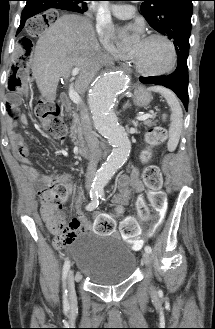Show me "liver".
I'll return each mask as SVG.
<instances>
[{
  "mask_svg": "<svg viewBox=\"0 0 215 329\" xmlns=\"http://www.w3.org/2000/svg\"><path fill=\"white\" fill-rule=\"evenodd\" d=\"M105 60L91 21L71 14L59 17L39 37L31 69L42 96L54 101L60 77L67 79L79 68L76 90L83 93Z\"/></svg>",
  "mask_w": 215,
  "mask_h": 329,
  "instance_id": "liver-1",
  "label": "liver"
}]
</instances>
